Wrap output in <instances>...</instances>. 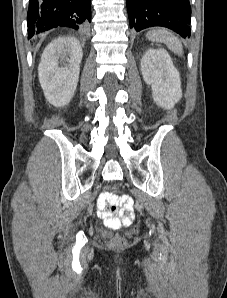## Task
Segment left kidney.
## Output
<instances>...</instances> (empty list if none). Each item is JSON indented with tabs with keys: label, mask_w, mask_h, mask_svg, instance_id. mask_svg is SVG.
<instances>
[{
	"label": "left kidney",
	"mask_w": 227,
	"mask_h": 298,
	"mask_svg": "<svg viewBox=\"0 0 227 298\" xmlns=\"http://www.w3.org/2000/svg\"><path fill=\"white\" fill-rule=\"evenodd\" d=\"M144 81L151 85L154 102L172 109L181 97V81L172 59L165 49H148L141 60Z\"/></svg>",
	"instance_id": "obj_1"
}]
</instances>
